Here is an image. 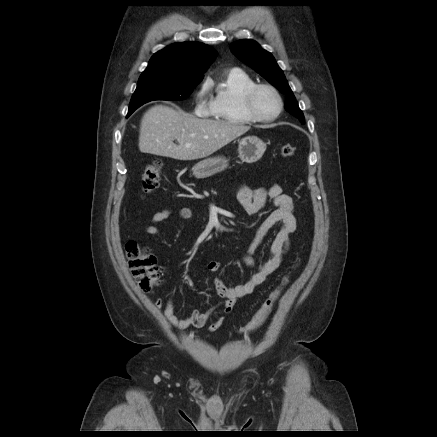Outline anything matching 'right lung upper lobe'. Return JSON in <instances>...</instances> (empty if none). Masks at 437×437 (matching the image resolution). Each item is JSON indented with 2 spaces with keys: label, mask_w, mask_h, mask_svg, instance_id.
<instances>
[{
  "label": "right lung upper lobe",
  "mask_w": 437,
  "mask_h": 437,
  "mask_svg": "<svg viewBox=\"0 0 437 437\" xmlns=\"http://www.w3.org/2000/svg\"><path fill=\"white\" fill-rule=\"evenodd\" d=\"M217 51L197 42L176 43L155 53L144 72L164 71L185 79H203Z\"/></svg>",
  "instance_id": "cb5924a9"
}]
</instances>
